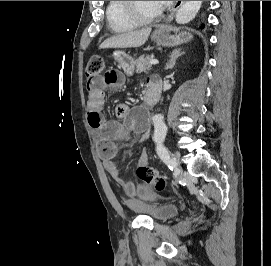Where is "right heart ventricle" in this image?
Returning <instances> with one entry per match:
<instances>
[{"instance_id": "1", "label": "right heart ventricle", "mask_w": 271, "mask_h": 266, "mask_svg": "<svg viewBox=\"0 0 271 266\" xmlns=\"http://www.w3.org/2000/svg\"><path fill=\"white\" fill-rule=\"evenodd\" d=\"M105 14L108 26L116 33L129 32L137 26L124 13L122 1H108Z\"/></svg>"}]
</instances>
